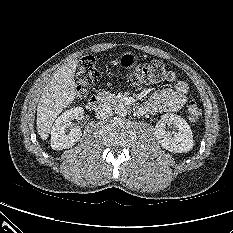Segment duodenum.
I'll list each match as a JSON object with an SVG mask.
<instances>
[{"instance_id":"1","label":"duodenum","mask_w":233,"mask_h":233,"mask_svg":"<svg viewBox=\"0 0 233 233\" xmlns=\"http://www.w3.org/2000/svg\"><path fill=\"white\" fill-rule=\"evenodd\" d=\"M117 102L120 105H124L128 107L129 109H131L133 112L137 114H144L143 106H139L135 102L129 99L120 98L117 100ZM101 104H102V100L100 99V97L93 95L87 101V108L91 111H94V110H97L101 106Z\"/></svg>"}]
</instances>
